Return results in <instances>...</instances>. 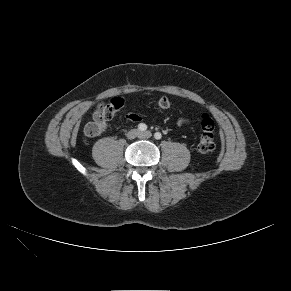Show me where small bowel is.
<instances>
[{"label": "small bowel", "mask_w": 291, "mask_h": 291, "mask_svg": "<svg viewBox=\"0 0 291 291\" xmlns=\"http://www.w3.org/2000/svg\"><path fill=\"white\" fill-rule=\"evenodd\" d=\"M120 100L123 103V100L121 98H115ZM115 99H113L112 101H114ZM103 106H100L99 109L95 112V114L102 108ZM119 110V109H118ZM125 119L129 122H139L141 121V118L138 114L134 113V112H129L125 115ZM188 122L187 118H180L178 123L179 124H185Z\"/></svg>", "instance_id": "obj_1"}]
</instances>
